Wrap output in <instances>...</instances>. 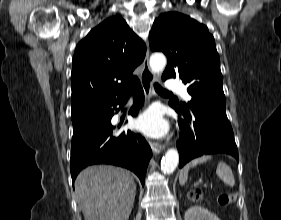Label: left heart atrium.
<instances>
[{
    "mask_svg": "<svg viewBox=\"0 0 281 220\" xmlns=\"http://www.w3.org/2000/svg\"><path fill=\"white\" fill-rule=\"evenodd\" d=\"M136 128L150 137H162L167 133L168 124L160 110L152 107L141 114L136 121Z\"/></svg>",
    "mask_w": 281,
    "mask_h": 220,
    "instance_id": "39dd6f15",
    "label": "left heart atrium"
}]
</instances>
